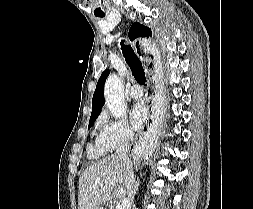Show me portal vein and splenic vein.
<instances>
[{"label": "portal vein and splenic vein", "instance_id": "18ae733b", "mask_svg": "<svg viewBox=\"0 0 253 209\" xmlns=\"http://www.w3.org/2000/svg\"><path fill=\"white\" fill-rule=\"evenodd\" d=\"M118 191V190H117ZM116 191V192H117ZM130 206V201L128 198H124L121 202L120 209H128Z\"/></svg>", "mask_w": 253, "mask_h": 209}]
</instances>
